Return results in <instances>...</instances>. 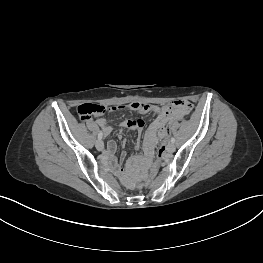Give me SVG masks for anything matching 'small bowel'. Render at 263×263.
I'll use <instances>...</instances> for the list:
<instances>
[{
	"label": "small bowel",
	"instance_id": "small-bowel-1",
	"mask_svg": "<svg viewBox=\"0 0 263 263\" xmlns=\"http://www.w3.org/2000/svg\"><path fill=\"white\" fill-rule=\"evenodd\" d=\"M136 103L138 104L139 102ZM149 107V113H153L155 115V118L148 128L144 140L145 160L150 159L156 144L164 140L165 124L170 123L174 120H179L185 115L184 108L176 107L174 103L166 107H157L152 105H149ZM96 124L99 126L100 131L104 136H108L111 133L112 128L107 123V120L105 118L97 119ZM120 126L123 128L141 131L144 126V121L142 119H125L120 122ZM139 147L140 144L138 143L137 148ZM116 148V143L114 141H109L105 150V156L107 158H112L116 152ZM122 156H124V154ZM136 162L137 159L132 160L133 164H135Z\"/></svg>",
	"mask_w": 263,
	"mask_h": 263
}]
</instances>
